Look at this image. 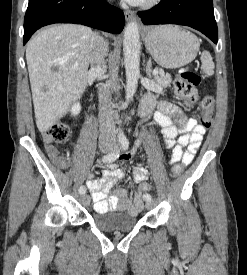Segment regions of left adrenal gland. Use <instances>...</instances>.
Masks as SVG:
<instances>
[{
    "mask_svg": "<svg viewBox=\"0 0 247 275\" xmlns=\"http://www.w3.org/2000/svg\"><path fill=\"white\" fill-rule=\"evenodd\" d=\"M151 68H152V62H151V58L148 60V63L146 65V74L149 78H152L151 75Z\"/></svg>",
    "mask_w": 247,
    "mask_h": 275,
    "instance_id": "left-adrenal-gland-1",
    "label": "left adrenal gland"
}]
</instances>
